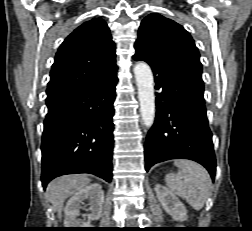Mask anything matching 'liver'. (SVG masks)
<instances>
[{"instance_id":"obj_1","label":"liver","mask_w":252,"mask_h":231,"mask_svg":"<svg viewBox=\"0 0 252 231\" xmlns=\"http://www.w3.org/2000/svg\"><path fill=\"white\" fill-rule=\"evenodd\" d=\"M90 179L85 175H68L54 179L49 183L46 190L48 200L61 218L65 200L85 188Z\"/></svg>"}]
</instances>
